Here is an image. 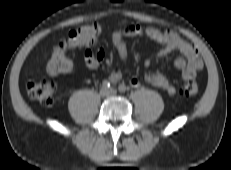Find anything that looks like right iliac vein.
Here are the masks:
<instances>
[{"label": "right iliac vein", "instance_id": "obj_1", "mask_svg": "<svg viewBox=\"0 0 231 170\" xmlns=\"http://www.w3.org/2000/svg\"><path fill=\"white\" fill-rule=\"evenodd\" d=\"M107 89L106 88H102L101 90H100V95L101 96H106L107 95Z\"/></svg>", "mask_w": 231, "mask_h": 170}]
</instances>
